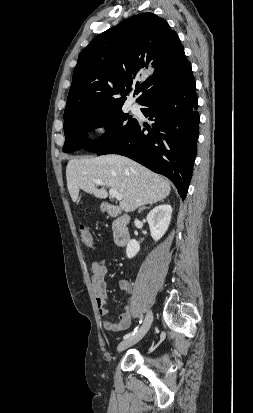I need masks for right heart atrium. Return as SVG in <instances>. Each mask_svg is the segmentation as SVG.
<instances>
[{"label":"right heart atrium","mask_w":253,"mask_h":413,"mask_svg":"<svg viewBox=\"0 0 253 413\" xmlns=\"http://www.w3.org/2000/svg\"><path fill=\"white\" fill-rule=\"evenodd\" d=\"M93 131L99 139L106 138L111 131V123L107 119H100L93 125Z\"/></svg>","instance_id":"obj_1"}]
</instances>
